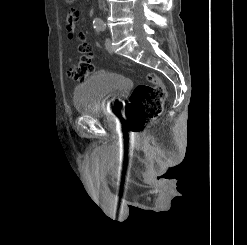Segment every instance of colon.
<instances>
[{"instance_id":"5ec220e1","label":"colon","mask_w":247,"mask_h":245,"mask_svg":"<svg viewBox=\"0 0 247 245\" xmlns=\"http://www.w3.org/2000/svg\"><path fill=\"white\" fill-rule=\"evenodd\" d=\"M78 51L81 54L79 63L68 69V76L74 81H82L94 71L91 46L83 42L79 45ZM146 79L150 84L137 85L130 95L126 108V125L132 133H140L149 121L162 113L167 97L165 86L158 76L148 73Z\"/></svg>"}]
</instances>
